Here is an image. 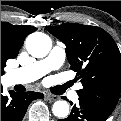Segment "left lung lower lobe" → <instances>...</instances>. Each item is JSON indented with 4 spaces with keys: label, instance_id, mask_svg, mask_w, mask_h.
Returning <instances> with one entry per match:
<instances>
[{
    "label": "left lung lower lobe",
    "instance_id": "0a47b994",
    "mask_svg": "<svg viewBox=\"0 0 121 121\" xmlns=\"http://www.w3.org/2000/svg\"><path fill=\"white\" fill-rule=\"evenodd\" d=\"M73 105L71 114L65 119H59L58 121H105L109 117V113L101 110L88 102L79 98V104Z\"/></svg>",
    "mask_w": 121,
    "mask_h": 121
}]
</instances>
